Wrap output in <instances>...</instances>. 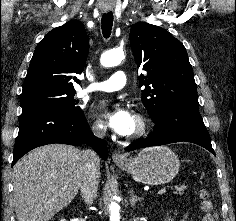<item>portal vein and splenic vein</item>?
Segmentation results:
<instances>
[{"label": "portal vein and splenic vein", "mask_w": 236, "mask_h": 221, "mask_svg": "<svg viewBox=\"0 0 236 221\" xmlns=\"http://www.w3.org/2000/svg\"><path fill=\"white\" fill-rule=\"evenodd\" d=\"M165 192H166V187H163V188L158 190L157 195H161V194H163Z\"/></svg>", "instance_id": "18ae733b"}]
</instances>
